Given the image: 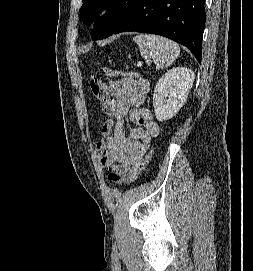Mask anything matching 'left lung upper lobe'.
Instances as JSON below:
<instances>
[{"label": "left lung upper lobe", "instance_id": "left-lung-upper-lobe-1", "mask_svg": "<svg viewBox=\"0 0 253 271\" xmlns=\"http://www.w3.org/2000/svg\"><path fill=\"white\" fill-rule=\"evenodd\" d=\"M80 20L91 24L102 9L111 13L97 19L93 33V40L104 39L110 36L127 18L133 7L134 0H82Z\"/></svg>", "mask_w": 253, "mask_h": 271}]
</instances>
